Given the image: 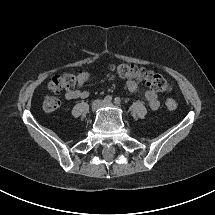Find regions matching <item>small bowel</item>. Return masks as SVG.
Here are the masks:
<instances>
[{"mask_svg": "<svg viewBox=\"0 0 215 215\" xmlns=\"http://www.w3.org/2000/svg\"><path fill=\"white\" fill-rule=\"evenodd\" d=\"M90 78V74L87 71H82L79 73L78 75V87L75 90H70L67 91L65 94V97L69 100L71 99H83L88 97V92L85 90L80 89V87H82ZM127 89L130 92H136L138 90V83L134 80V79H129L126 83ZM145 99L149 105V107L153 110L158 109L159 107V100H158V96L157 94L151 90L148 89L145 91Z\"/></svg>", "mask_w": 215, "mask_h": 215, "instance_id": "obj_1", "label": "small bowel"}]
</instances>
